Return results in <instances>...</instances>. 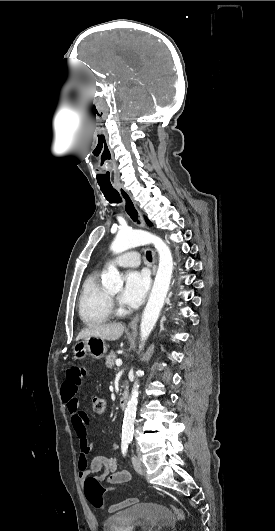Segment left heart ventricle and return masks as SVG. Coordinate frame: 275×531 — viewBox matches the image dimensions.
<instances>
[{
	"label": "left heart ventricle",
	"mask_w": 275,
	"mask_h": 531,
	"mask_svg": "<svg viewBox=\"0 0 275 531\" xmlns=\"http://www.w3.org/2000/svg\"><path fill=\"white\" fill-rule=\"evenodd\" d=\"M119 292V291H118ZM118 292H115V293H112V294H117Z\"/></svg>",
	"instance_id": "left-heart-ventricle-1"
}]
</instances>
